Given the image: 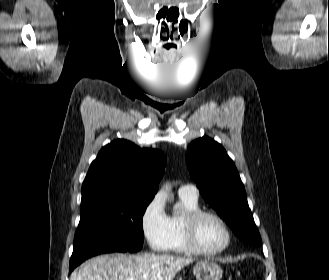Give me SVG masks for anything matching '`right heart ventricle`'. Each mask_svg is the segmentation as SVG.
I'll return each instance as SVG.
<instances>
[{
	"mask_svg": "<svg viewBox=\"0 0 329 280\" xmlns=\"http://www.w3.org/2000/svg\"><path fill=\"white\" fill-rule=\"evenodd\" d=\"M182 211L168 216L169 237L165 250L175 254L190 253L183 235V222L187 213L199 209L198 199L179 193Z\"/></svg>",
	"mask_w": 329,
	"mask_h": 280,
	"instance_id": "right-heart-ventricle-1",
	"label": "right heart ventricle"
}]
</instances>
